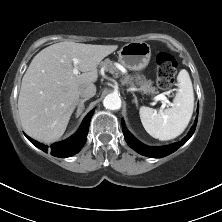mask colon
I'll return each instance as SVG.
<instances>
[{"instance_id":"1","label":"colon","mask_w":222,"mask_h":222,"mask_svg":"<svg viewBox=\"0 0 222 222\" xmlns=\"http://www.w3.org/2000/svg\"><path fill=\"white\" fill-rule=\"evenodd\" d=\"M157 65V85L162 90H170L174 85L178 63L176 59L168 53H159L156 57Z\"/></svg>"}]
</instances>
